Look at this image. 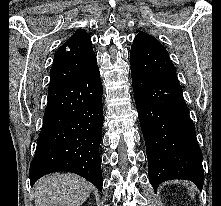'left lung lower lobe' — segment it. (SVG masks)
<instances>
[{
    "mask_svg": "<svg viewBox=\"0 0 221 206\" xmlns=\"http://www.w3.org/2000/svg\"><path fill=\"white\" fill-rule=\"evenodd\" d=\"M131 75L152 187L187 179L202 189L203 157L180 84Z\"/></svg>",
    "mask_w": 221,
    "mask_h": 206,
    "instance_id": "left-lung-lower-lobe-1",
    "label": "left lung lower lobe"
}]
</instances>
